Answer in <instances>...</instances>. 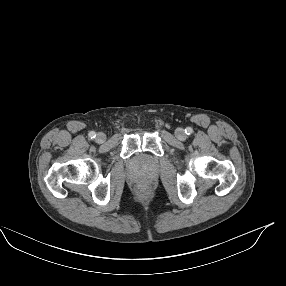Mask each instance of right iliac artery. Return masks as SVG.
<instances>
[{
    "label": "right iliac artery",
    "mask_w": 286,
    "mask_h": 286,
    "mask_svg": "<svg viewBox=\"0 0 286 286\" xmlns=\"http://www.w3.org/2000/svg\"><path fill=\"white\" fill-rule=\"evenodd\" d=\"M88 135H89V137H90L91 139H93V138L96 137V133H95L94 131L89 132Z\"/></svg>",
    "instance_id": "1"
}]
</instances>
